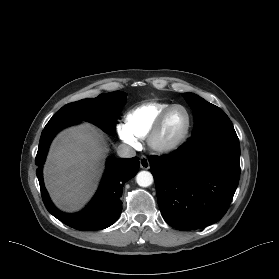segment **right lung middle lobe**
I'll return each instance as SVG.
<instances>
[{
    "label": "right lung middle lobe",
    "mask_w": 279,
    "mask_h": 279,
    "mask_svg": "<svg viewBox=\"0 0 279 279\" xmlns=\"http://www.w3.org/2000/svg\"><path fill=\"white\" fill-rule=\"evenodd\" d=\"M126 96L125 92L115 91L67 104L49 120L45 128L88 121L99 126L103 131L115 135L117 117L126 102Z\"/></svg>",
    "instance_id": "obj_1"
}]
</instances>
